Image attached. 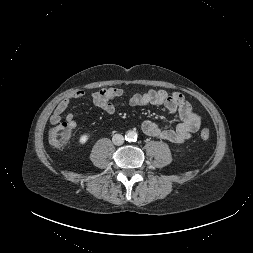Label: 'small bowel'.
Masks as SVG:
<instances>
[{
  "label": "small bowel",
  "instance_id": "small-bowel-1",
  "mask_svg": "<svg viewBox=\"0 0 253 253\" xmlns=\"http://www.w3.org/2000/svg\"><path fill=\"white\" fill-rule=\"evenodd\" d=\"M85 96L82 90H76L64 97L56 106L50 116V123L57 125L62 119L63 113L68 108L70 102ZM124 96V91L120 88H104L91 94L92 103L102 109L107 114L115 112L113 100ZM131 106L155 105L162 106L169 114H178L180 122L174 127L164 129L150 120H145L141 124L142 131L151 137L166 140L172 143H183L189 140L193 133L197 132L201 126V118L196 114L191 104L180 92H167L165 90H148L143 93H135L128 99ZM66 121L74 128L76 126L74 114L68 113Z\"/></svg>",
  "mask_w": 253,
  "mask_h": 253
}]
</instances>
